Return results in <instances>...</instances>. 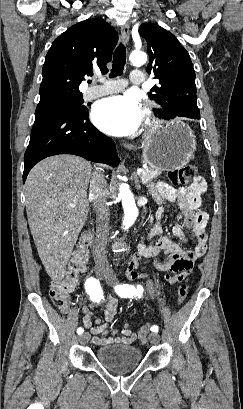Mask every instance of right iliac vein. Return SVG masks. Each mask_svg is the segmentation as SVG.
Wrapping results in <instances>:
<instances>
[{
    "label": "right iliac vein",
    "mask_w": 243,
    "mask_h": 409,
    "mask_svg": "<svg viewBox=\"0 0 243 409\" xmlns=\"http://www.w3.org/2000/svg\"><path fill=\"white\" fill-rule=\"evenodd\" d=\"M97 277L99 279L103 280V279H106L107 274L105 272H103V271H98L97 272ZM89 339H90V334L87 333V332L83 333L79 338L81 343H87L89 341Z\"/></svg>",
    "instance_id": "right-iliac-vein-1"
}]
</instances>
